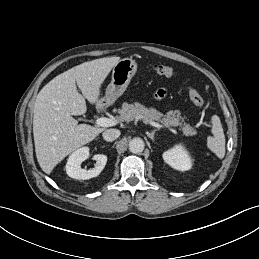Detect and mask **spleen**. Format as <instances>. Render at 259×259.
<instances>
[{
  "mask_svg": "<svg viewBox=\"0 0 259 259\" xmlns=\"http://www.w3.org/2000/svg\"><path fill=\"white\" fill-rule=\"evenodd\" d=\"M212 124V133L214 136L208 139L207 145L221 159L225 155V136L218 119H213Z\"/></svg>",
  "mask_w": 259,
  "mask_h": 259,
  "instance_id": "obj_1",
  "label": "spleen"
}]
</instances>
